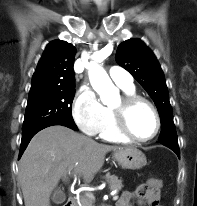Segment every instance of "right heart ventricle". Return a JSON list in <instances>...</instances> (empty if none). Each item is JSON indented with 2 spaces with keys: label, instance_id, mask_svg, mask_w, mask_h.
<instances>
[{
  "label": "right heart ventricle",
  "instance_id": "obj_1",
  "mask_svg": "<svg viewBox=\"0 0 197 206\" xmlns=\"http://www.w3.org/2000/svg\"><path fill=\"white\" fill-rule=\"evenodd\" d=\"M124 92L126 94H135V90L134 87H122L120 86ZM106 108V107H105ZM98 134L100 136V138L106 140V141H110V142H123L125 140L124 137H122L115 125H114V121H113V116H112V112L110 108H106V112H105V117L103 120V123L98 131Z\"/></svg>",
  "mask_w": 197,
  "mask_h": 206
}]
</instances>
